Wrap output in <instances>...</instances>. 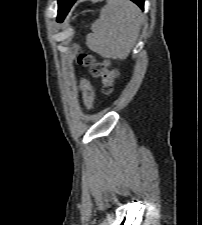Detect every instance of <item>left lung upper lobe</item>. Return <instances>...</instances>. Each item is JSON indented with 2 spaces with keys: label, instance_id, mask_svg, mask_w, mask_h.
<instances>
[{
  "label": "left lung upper lobe",
  "instance_id": "1",
  "mask_svg": "<svg viewBox=\"0 0 202 225\" xmlns=\"http://www.w3.org/2000/svg\"><path fill=\"white\" fill-rule=\"evenodd\" d=\"M76 0H58V20L62 21Z\"/></svg>",
  "mask_w": 202,
  "mask_h": 225
}]
</instances>
